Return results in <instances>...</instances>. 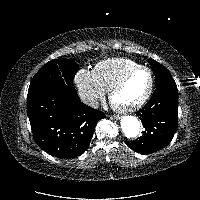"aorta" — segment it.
<instances>
[{
  "mask_svg": "<svg viewBox=\"0 0 200 200\" xmlns=\"http://www.w3.org/2000/svg\"><path fill=\"white\" fill-rule=\"evenodd\" d=\"M121 129L127 138H135L140 132V123L134 116H123L121 119Z\"/></svg>",
  "mask_w": 200,
  "mask_h": 200,
  "instance_id": "762f6f07",
  "label": "aorta"
}]
</instances>
